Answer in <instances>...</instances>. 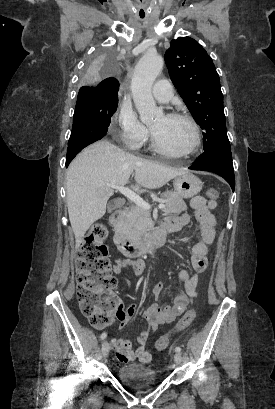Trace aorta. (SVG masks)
<instances>
[{"label":"aorta","mask_w":275,"mask_h":409,"mask_svg":"<svg viewBox=\"0 0 275 409\" xmlns=\"http://www.w3.org/2000/svg\"><path fill=\"white\" fill-rule=\"evenodd\" d=\"M163 57V51H144L142 58L135 66L131 90L134 104L145 124L163 116V108L157 106L152 96V84L162 70ZM147 245L151 247L150 241Z\"/></svg>","instance_id":"762f6f07"}]
</instances>
